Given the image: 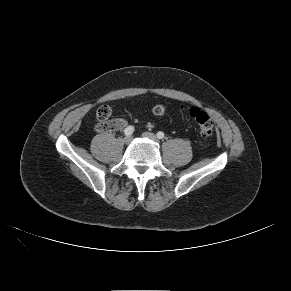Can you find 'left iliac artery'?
Here are the masks:
<instances>
[{"mask_svg": "<svg viewBox=\"0 0 291 291\" xmlns=\"http://www.w3.org/2000/svg\"><path fill=\"white\" fill-rule=\"evenodd\" d=\"M157 138H159V139H163V138H164V133H163L162 131H159V132L157 133Z\"/></svg>", "mask_w": 291, "mask_h": 291, "instance_id": "44dca946", "label": "left iliac artery"}]
</instances>
